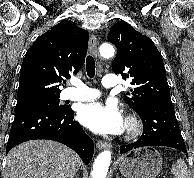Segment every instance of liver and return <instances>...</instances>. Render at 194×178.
Masks as SVG:
<instances>
[{"label":"liver","mask_w":194,"mask_h":178,"mask_svg":"<svg viewBox=\"0 0 194 178\" xmlns=\"http://www.w3.org/2000/svg\"><path fill=\"white\" fill-rule=\"evenodd\" d=\"M80 166V157L65 145L31 140L8 153L4 178H73Z\"/></svg>","instance_id":"obj_1"}]
</instances>
